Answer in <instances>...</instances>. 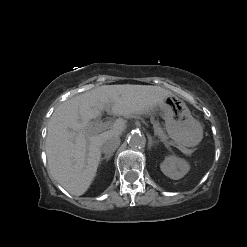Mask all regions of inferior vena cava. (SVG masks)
<instances>
[{
  "label": "inferior vena cava",
  "mask_w": 247,
  "mask_h": 247,
  "mask_svg": "<svg viewBox=\"0 0 247 247\" xmlns=\"http://www.w3.org/2000/svg\"><path fill=\"white\" fill-rule=\"evenodd\" d=\"M120 145L119 137H108L101 144V151L106 155L113 154Z\"/></svg>",
  "instance_id": "1"
}]
</instances>
